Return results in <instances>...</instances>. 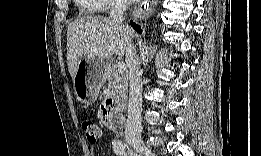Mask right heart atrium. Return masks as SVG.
Wrapping results in <instances>:
<instances>
[{
	"label": "right heart atrium",
	"mask_w": 261,
	"mask_h": 156,
	"mask_svg": "<svg viewBox=\"0 0 261 156\" xmlns=\"http://www.w3.org/2000/svg\"><path fill=\"white\" fill-rule=\"evenodd\" d=\"M94 10L105 11L112 10L121 6L119 1L115 0H95Z\"/></svg>",
	"instance_id": "1"
}]
</instances>
